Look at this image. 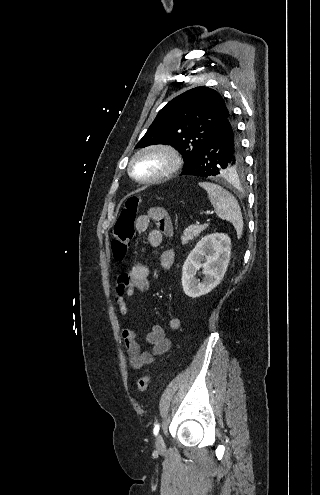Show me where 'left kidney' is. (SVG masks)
<instances>
[{"label":"left kidney","mask_w":320,"mask_h":495,"mask_svg":"<svg viewBox=\"0 0 320 495\" xmlns=\"http://www.w3.org/2000/svg\"><path fill=\"white\" fill-rule=\"evenodd\" d=\"M231 254V240L225 234L203 237L190 252L182 269V286L185 294L196 298L209 293L224 277ZM205 275L202 282L196 278L200 269Z\"/></svg>","instance_id":"5707ae66"}]
</instances>
